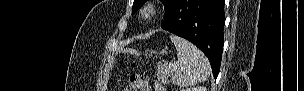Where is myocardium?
<instances>
[{
    "mask_svg": "<svg viewBox=\"0 0 304 91\" xmlns=\"http://www.w3.org/2000/svg\"><path fill=\"white\" fill-rule=\"evenodd\" d=\"M153 3L154 2L149 1L139 10L138 17L142 21L149 22L156 18L159 14L160 8Z\"/></svg>",
    "mask_w": 304,
    "mask_h": 91,
    "instance_id": "obj_1",
    "label": "myocardium"
}]
</instances>
